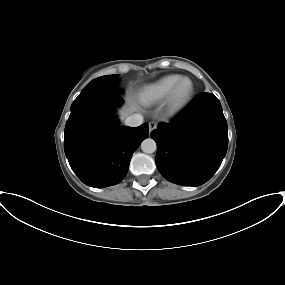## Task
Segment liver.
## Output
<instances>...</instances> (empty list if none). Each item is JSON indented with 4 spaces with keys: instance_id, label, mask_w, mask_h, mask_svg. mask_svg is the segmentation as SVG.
<instances>
[{
    "instance_id": "6515ba94",
    "label": "liver",
    "mask_w": 285,
    "mask_h": 285,
    "mask_svg": "<svg viewBox=\"0 0 285 285\" xmlns=\"http://www.w3.org/2000/svg\"><path fill=\"white\" fill-rule=\"evenodd\" d=\"M134 110V108H129V107H127V108H124L122 111H121V115H122V117L123 116H125L126 114H128L129 112H131V111H133Z\"/></svg>"
}]
</instances>
